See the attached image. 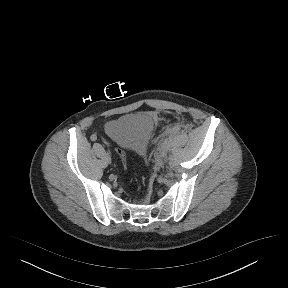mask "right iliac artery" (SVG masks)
<instances>
[{
    "mask_svg": "<svg viewBox=\"0 0 288 288\" xmlns=\"http://www.w3.org/2000/svg\"><path fill=\"white\" fill-rule=\"evenodd\" d=\"M90 139H91L92 141H96V140H97V136H96L95 134H93V135H91Z\"/></svg>",
    "mask_w": 288,
    "mask_h": 288,
    "instance_id": "right-iliac-artery-1",
    "label": "right iliac artery"
}]
</instances>
